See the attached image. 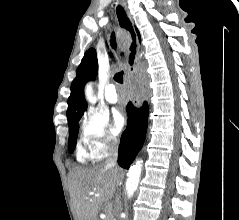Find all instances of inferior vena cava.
<instances>
[{"mask_svg":"<svg viewBox=\"0 0 239 220\" xmlns=\"http://www.w3.org/2000/svg\"><path fill=\"white\" fill-rule=\"evenodd\" d=\"M106 166L117 167L118 145L116 140H108L106 143Z\"/></svg>","mask_w":239,"mask_h":220,"instance_id":"inferior-vena-cava-1","label":"inferior vena cava"}]
</instances>
